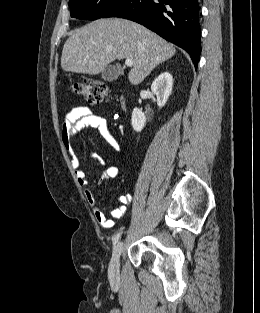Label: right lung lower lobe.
Segmentation results:
<instances>
[{
    "label": "right lung lower lobe",
    "mask_w": 260,
    "mask_h": 313,
    "mask_svg": "<svg viewBox=\"0 0 260 313\" xmlns=\"http://www.w3.org/2000/svg\"><path fill=\"white\" fill-rule=\"evenodd\" d=\"M198 0H122L105 17L126 18L185 49L197 67L200 46Z\"/></svg>",
    "instance_id": "98d812e1"
}]
</instances>
